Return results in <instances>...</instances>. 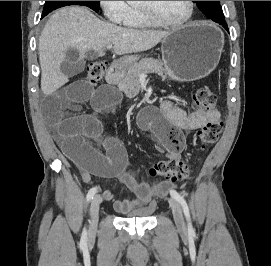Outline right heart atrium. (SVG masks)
Listing matches in <instances>:
<instances>
[{"mask_svg":"<svg viewBox=\"0 0 271 266\" xmlns=\"http://www.w3.org/2000/svg\"><path fill=\"white\" fill-rule=\"evenodd\" d=\"M106 19L113 24H125L130 7L126 1H99Z\"/></svg>","mask_w":271,"mask_h":266,"instance_id":"d8ad5b80","label":"right heart atrium"}]
</instances>
